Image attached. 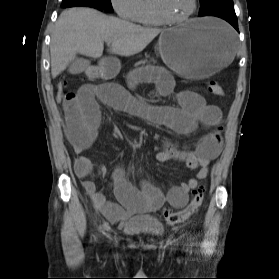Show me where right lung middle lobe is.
<instances>
[{"instance_id": "right-lung-middle-lobe-1", "label": "right lung middle lobe", "mask_w": 279, "mask_h": 279, "mask_svg": "<svg viewBox=\"0 0 279 279\" xmlns=\"http://www.w3.org/2000/svg\"><path fill=\"white\" fill-rule=\"evenodd\" d=\"M96 2L103 10L112 12L113 8L111 5V0H93Z\"/></svg>"}]
</instances>
